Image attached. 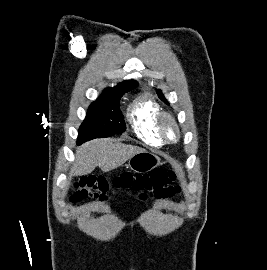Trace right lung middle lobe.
I'll use <instances>...</instances> for the list:
<instances>
[{"label":"right lung middle lobe","instance_id":"dd1d6c3e","mask_svg":"<svg viewBox=\"0 0 267 270\" xmlns=\"http://www.w3.org/2000/svg\"><path fill=\"white\" fill-rule=\"evenodd\" d=\"M104 91L93 102L84 122L78 130L77 144L99 137H110L126 130L124 117L119 108L120 98L125 92Z\"/></svg>","mask_w":267,"mask_h":270}]
</instances>
